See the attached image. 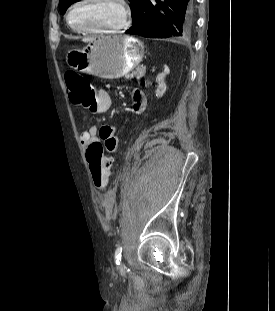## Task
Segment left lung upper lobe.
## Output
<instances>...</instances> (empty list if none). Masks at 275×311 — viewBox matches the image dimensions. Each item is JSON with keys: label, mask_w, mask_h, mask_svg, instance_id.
<instances>
[{"label": "left lung upper lobe", "mask_w": 275, "mask_h": 311, "mask_svg": "<svg viewBox=\"0 0 275 311\" xmlns=\"http://www.w3.org/2000/svg\"><path fill=\"white\" fill-rule=\"evenodd\" d=\"M77 1H80V0H60L59 1V9L61 11V14H64L70 5L77 2ZM129 1L132 4L131 10H132V18L134 21L135 17L137 16L138 12L140 11L145 0H129Z\"/></svg>", "instance_id": "1"}]
</instances>
